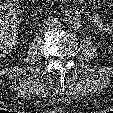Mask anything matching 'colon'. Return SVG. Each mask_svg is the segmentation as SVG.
I'll return each mask as SVG.
<instances>
[{"label":"colon","mask_w":113,"mask_h":113,"mask_svg":"<svg viewBox=\"0 0 113 113\" xmlns=\"http://www.w3.org/2000/svg\"><path fill=\"white\" fill-rule=\"evenodd\" d=\"M31 0H0V55L8 52L14 36V23L16 22L22 4ZM1 15V14H0Z\"/></svg>","instance_id":"colon-1"}]
</instances>
